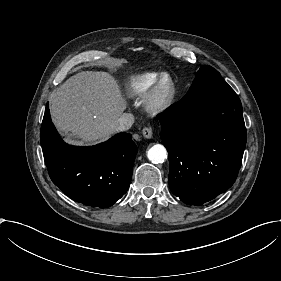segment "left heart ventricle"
Returning a JSON list of instances; mask_svg holds the SVG:
<instances>
[{
  "label": "left heart ventricle",
  "instance_id": "1",
  "mask_svg": "<svg viewBox=\"0 0 281 281\" xmlns=\"http://www.w3.org/2000/svg\"><path fill=\"white\" fill-rule=\"evenodd\" d=\"M167 88H168V83H165L164 86H163V88H162V90H161V92L166 91Z\"/></svg>",
  "mask_w": 281,
  "mask_h": 281
}]
</instances>
